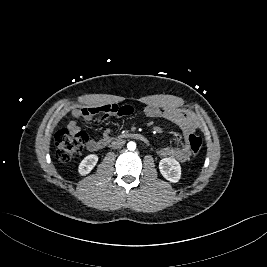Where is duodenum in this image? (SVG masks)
<instances>
[{
    "mask_svg": "<svg viewBox=\"0 0 267 267\" xmlns=\"http://www.w3.org/2000/svg\"><path fill=\"white\" fill-rule=\"evenodd\" d=\"M124 139H134V140H138L144 143L147 142V138L143 134L137 133V132L126 133L118 137L119 141L124 140Z\"/></svg>",
    "mask_w": 267,
    "mask_h": 267,
    "instance_id": "obj_1",
    "label": "duodenum"
}]
</instances>
